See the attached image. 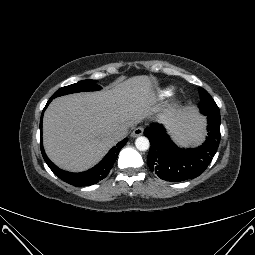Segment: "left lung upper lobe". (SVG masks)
<instances>
[{
    "label": "left lung upper lobe",
    "instance_id": "1",
    "mask_svg": "<svg viewBox=\"0 0 255 255\" xmlns=\"http://www.w3.org/2000/svg\"><path fill=\"white\" fill-rule=\"evenodd\" d=\"M199 93H200V103H199L200 111L203 114H208V113L219 114L220 113L219 108L216 105L213 98L208 94V92L205 89L200 87Z\"/></svg>",
    "mask_w": 255,
    "mask_h": 255
}]
</instances>
